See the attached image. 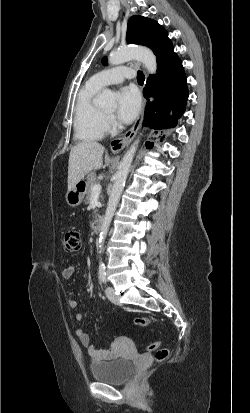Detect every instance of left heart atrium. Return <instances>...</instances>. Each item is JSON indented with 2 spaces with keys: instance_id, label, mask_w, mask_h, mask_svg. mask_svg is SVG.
<instances>
[{
  "instance_id": "1",
  "label": "left heart atrium",
  "mask_w": 250,
  "mask_h": 413,
  "mask_svg": "<svg viewBox=\"0 0 250 413\" xmlns=\"http://www.w3.org/2000/svg\"><path fill=\"white\" fill-rule=\"evenodd\" d=\"M140 109V96L135 88L125 87L118 93V109L119 118L129 123L136 118Z\"/></svg>"
}]
</instances>
